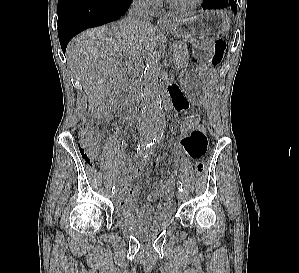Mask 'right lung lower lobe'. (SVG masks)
Masks as SVG:
<instances>
[{
  "label": "right lung lower lobe",
  "mask_w": 299,
  "mask_h": 273,
  "mask_svg": "<svg viewBox=\"0 0 299 273\" xmlns=\"http://www.w3.org/2000/svg\"><path fill=\"white\" fill-rule=\"evenodd\" d=\"M132 0H58V36L63 53L81 31L123 16Z\"/></svg>",
  "instance_id": "obj_1"
}]
</instances>
